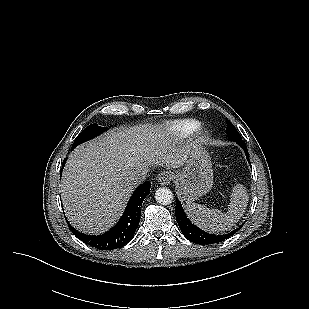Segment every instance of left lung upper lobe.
Segmentation results:
<instances>
[{
	"label": "left lung upper lobe",
	"instance_id": "obj_1",
	"mask_svg": "<svg viewBox=\"0 0 309 309\" xmlns=\"http://www.w3.org/2000/svg\"><path fill=\"white\" fill-rule=\"evenodd\" d=\"M226 134L228 135V139L231 141H243L234 125L229 121H227Z\"/></svg>",
	"mask_w": 309,
	"mask_h": 309
}]
</instances>
